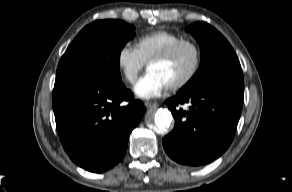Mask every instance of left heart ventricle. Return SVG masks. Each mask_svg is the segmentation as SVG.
<instances>
[{"mask_svg":"<svg viewBox=\"0 0 292 192\" xmlns=\"http://www.w3.org/2000/svg\"><path fill=\"white\" fill-rule=\"evenodd\" d=\"M195 60L194 52L189 47L179 50L171 59L153 63L149 71L157 73L170 86L184 78L191 70Z\"/></svg>","mask_w":292,"mask_h":192,"instance_id":"b2bd125f","label":"left heart ventricle"}]
</instances>
